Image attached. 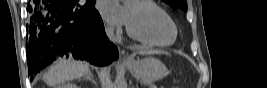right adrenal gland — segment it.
Listing matches in <instances>:
<instances>
[{
	"label": "right adrenal gland",
	"instance_id": "right-adrenal-gland-1",
	"mask_svg": "<svg viewBox=\"0 0 267 88\" xmlns=\"http://www.w3.org/2000/svg\"><path fill=\"white\" fill-rule=\"evenodd\" d=\"M83 78H84V79H87V80H90V81H92L95 85H97L96 82H95V80H94L93 74H92L91 72H88L87 74H85V75L83 76Z\"/></svg>",
	"mask_w": 267,
	"mask_h": 88
}]
</instances>
